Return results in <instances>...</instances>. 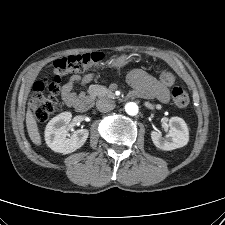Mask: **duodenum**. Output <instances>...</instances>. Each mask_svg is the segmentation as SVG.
Here are the masks:
<instances>
[{"label":"duodenum","instance_id":"1","mask_svg":"<svg viewBox=\"0 0 225 225\" xmlns=\"http://www.w3.org/2000/svg\"><path fill=\"white\" fill-rule=\"evenodd\" d=\"M93 105V98L89 95L84 96L80 98L76 103H75V110L79 113H85L90 110V108Z\"/></svg>","mask_w":225,"mask_h":225}]
</instances>
